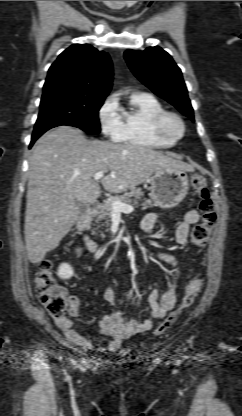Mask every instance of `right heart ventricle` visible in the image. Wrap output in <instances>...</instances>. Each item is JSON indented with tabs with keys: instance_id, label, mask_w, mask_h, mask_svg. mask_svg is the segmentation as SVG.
I'll return each instance as SVG.
<instances>
[{
	"instance_id": "e07e8e85",
	"label": "right heart ventricle",
	"mask_w": 242,
	"mask_h": 416,
	"mask_svg": "<svg viewBox=\"0 0 242 416\" xmlns=\"http://www.w3.org/2000/svg\"><path fill=\"white\" fill-rule=\"evenodd\" d=\"M123 120L117 142L151 148H168L174 141L159 137L153 130V121L165 111L162 103L147 92H133L126 107H120Z\"/></svg>"
}]
</instances>
